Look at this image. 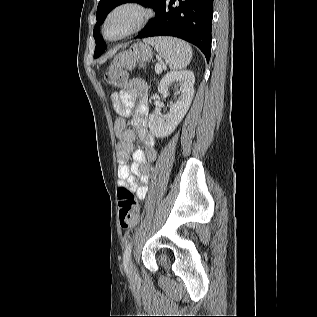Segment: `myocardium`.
Masks as SVG:
<instances>
[{"label":"myocardium","instance_id":"1","mask_svg":"<svg viewBox=\"0 0 317 317\" xmlns=\"http://www.w3.org/2000/svg\"><path fill=\"white\" fill-rule=\"evenodd\" d=\"M123 10H131L136 13V18L134 22L130 25V27L115 37H109L106 33L107 25L109 21L119 12ZM152 17V11L146 7L144 4L140 3L139 1L135 0H125L114 7H112L108 13L106 14L103 24H102V35L104 39L108 41H118L124 38H127L140 30H142L147 23L149 22L150 18Z\"/></svg>","mask_w":317,"mask_h":317}]
</instances>
